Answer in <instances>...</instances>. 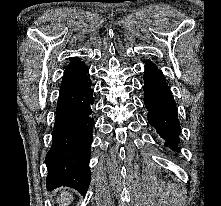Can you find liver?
I'll list each match as a JSON object with an SVG mask.
<instances>
[{"label": "liver", "instance_id": "1", "mask_svg": "<svg viewBox=\"0 0 221 206\" xmlns=\"http://www.w3.org/2000/svg\"><path fill=\"white\" fill-rule=\"evenodd\" d=\"M72 200V195L66 191H63L60 195V198L58 199V203L60 206H68Z\"/></svg>", "mask_w": 221, "mask_h": 206}]
</instances>
